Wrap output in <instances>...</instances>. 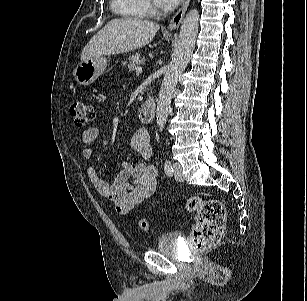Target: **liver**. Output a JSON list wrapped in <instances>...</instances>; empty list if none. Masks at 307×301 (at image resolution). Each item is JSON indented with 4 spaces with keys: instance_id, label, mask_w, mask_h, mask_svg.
Instances as JSON below:
<instances>
[{
    "instance_id": "liver-1",
    "label": "liver",
    "mask_w": 307,
    "mask_h": 301,
    "mask_svg": "<svg viewBox=\"0 0 307 301\" xmlns=\"http://www.w3.org/2000/svg\"><path fill=\"white\" fill-rule=\"evenodd\" d=\"M159 24L138 18L126 17L109 21L81 54V62L94 57L127 53L148 45Z\"/></svg>"
}]
</instances>
